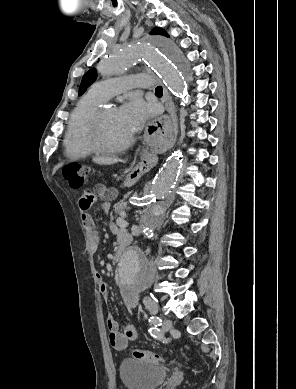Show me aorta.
<instances>
[{"label":"aorta","mask_w":296,"mask_h":389,"mask_svg":"<svg viewBox=\"0 0 296 389\" xmlns=\"http://www.w3.org/2000/svg\"><path fill=\"white\" fill-rule=\"evenodd\" d=\"M135 62L152 66L165 82L168 89L187 100L186 77L188 64L177 46L166 38H149L122 46L99 65L103 76L121 75ZM182 167V154L174 153L156 175L146 199V214L143 230L151 232L163 219L173 200L174 188ZM119 278L123 288L133 293L151 287L155 268L138 245L131 246L123 253L119 265Z\"/></svg>","instance_id":"obj_1"}]
</instances>
